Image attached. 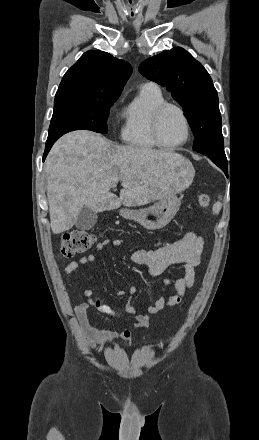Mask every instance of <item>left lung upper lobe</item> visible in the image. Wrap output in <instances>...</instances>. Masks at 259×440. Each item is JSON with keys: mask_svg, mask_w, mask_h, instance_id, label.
<instances>
[{"mask_svg": "<svg viewBox=\"0 0 259 440\" xmlns=\"http://www.w3.org/2000/svg\"><path fill=\"white\" fill-rule=\"evenodd\" d=\"M140 73L171 92L182 106L193 131V149L202 154L223 155L224 141L218 95L200 62L180 47L148 58Z\"/></svg>", "mask_w": 259, "mask_h": 440, "instance_id": "obj_1", "label": "left lung upper lobe"}]
</instances>
